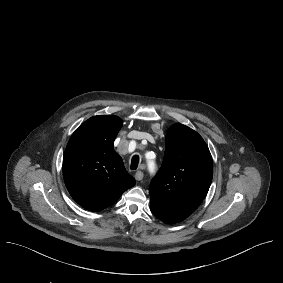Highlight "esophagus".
Here are the masks:
<instances>
[{
  "mask_svg": "<svg viewBox=\"0 0 283 283\" xmlns=\"http://www.w3.org/2000/svg\"><path fill=\"white\" fill-rule=\"evenodd\" d=\"M143 177H144V174H143L142 171L139 170V171H137V172L135 173V179H136V180L140 181V180L143 179Z\"/></svg>",
  "mask_w": 283,
  "mask_h": 283,
  "instance_id": "esophagus-1",
  "label": "esophagus"
}]
</instances>
